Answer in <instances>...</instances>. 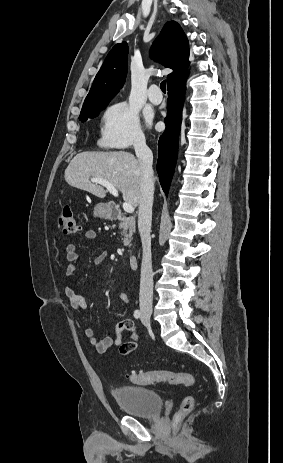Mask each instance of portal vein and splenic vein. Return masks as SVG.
Here are the masks:
<instances>
[{
    "label": "portal vein and splenic vein",
    "instance_id": "obj_1",
    "mask_svg": "<svg viewBox=\"0 0 283 463\" xmlns=\"http://www.w3.org/2000/svg\"><path fill=\"white\" fill-rule=\"evenodd\" d=\"M92 182L98 183L104 187L107 188V190L114 195L115 197H118V190L107 180L105 179H100V178H91ZM123 209L127 213H133L134 212V207L131 203L129 202H124L123 203Z\"/></svg>",
    "mask_w": 283,
    "mask_h": 463
}]
</instances>
